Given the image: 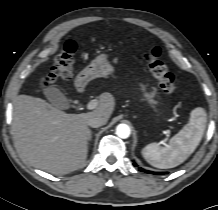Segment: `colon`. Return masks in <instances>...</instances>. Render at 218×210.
<instances>
[{
  "mask_svg": "<svg viewBox=\"0 0 218 210\" xmlns=\"http://www.w3.org/2000/svg\"><path fill=\"white\" fill-rule=\"evenodd\" d=\"M73 54L74 48L70 44H67L64 51L57 58L46 84L67 81L71 77L74 63ZM160 55V48L155 46L146 52L145 58L148 61L152 75L158 80L160 88L164 93L172 94L175 91V78L165 63L160 59Z\"/></svg>",
  "mask_w": 218,
  "mask_h": 210,
  "instance_id": "obj_1",
  "label": "colon"
}]
</instances>
